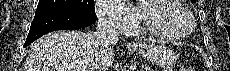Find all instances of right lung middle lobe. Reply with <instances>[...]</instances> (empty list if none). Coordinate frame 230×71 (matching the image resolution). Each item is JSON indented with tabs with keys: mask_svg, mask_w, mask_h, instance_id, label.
<instances>
[{
	"mask_svg": "<svg viewBox=\"0 0 230 71\" xmlns=\"http://www.w3.org/2000/svg\"><path fill=\"white\" fill-rule=\"evenodd\" d=\"M53 10H70L96 17L94 0H40L36 13Z\"/></svg>",
	"mask_w": 230,
	"mask_h": 71,
	"instance_id": "dd1d6c3e",
	"label": "right lung middle lobe"
}]
</instances>
